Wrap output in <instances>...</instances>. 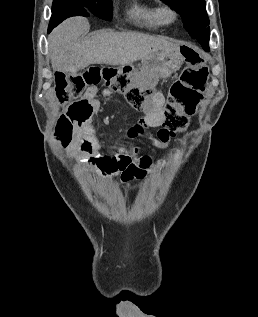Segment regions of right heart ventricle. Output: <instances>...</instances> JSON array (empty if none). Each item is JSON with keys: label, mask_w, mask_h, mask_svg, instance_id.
Instances as JSON below:
<instances>
[{"label": "right heart ventricle", "mask_w": 258, "mask_h": 317, "mask_svg": "<svg viewBox=\"0 0 258 317\" xmlns=\"http://www.w3.org/2000/svg\"><path fill=\"white\" fill-rule=\"evenodd\" d=\"M158 10L159 5L156 2H134L128 10V15L149 29H157L161 25Z\"/></svg>", "instance_id": "e07e8e85"}]
</instances>
